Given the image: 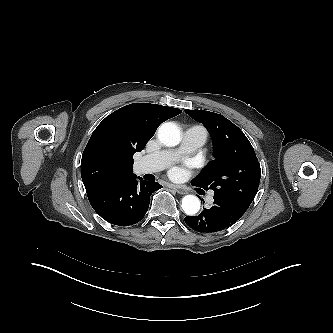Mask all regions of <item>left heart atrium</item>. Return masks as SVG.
Masks as SVG:
<instances>
[{"label":"left heart atrium","mask_w":333,"mask_h":333,"mask_svg":"<svg viewBox=\"0 0 333 333\" xmlns=\"http://www.w3.org/2000/svg\"><path fill=\"white\" fill-rule=\"evenodd\" d=\"M182 174V170L180 168H174L172 171H171V175L173 177H179L181 176Z\"/></svg>","instance_id":"1"}]
</instances>
